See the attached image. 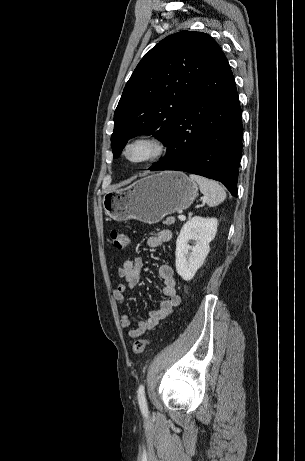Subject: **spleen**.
Listing matches in <instances>:
<instances>
[{
    "label": "spleen",
    "instance_id": "spleen-1",
    "mask_svg": "<svg viewBox=\"0 0 305 461\" xmlns=\"http://www.w3.org/2000/svg\"><path fill=\"white\" fill-rule=\"evenodd\" d=\"M189 177L199 185L208 206H217L225 200L226 192L217 182L195 174H191Z\"/></svg>",
    "mask_w": 305,
    "mask_h": 461
}]
</instances>
